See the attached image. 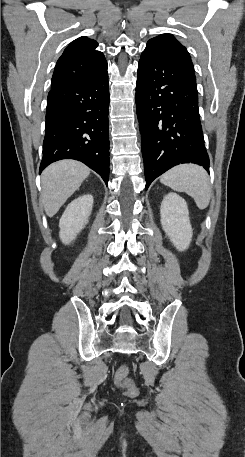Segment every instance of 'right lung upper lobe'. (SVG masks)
Listing matches in <instances>:
<instances>
[{"label": "right lung upper lobe", "mask_w": 245, "mask_h": 457, "mask_svg": "<svg viewBox=\"0 0 245 457\" xmlns=\"http://www.w3.org/2000/svg\"><path fill=\"white\" fill-rule=\"evenodd\" d=\"M97 46L95 40L87 37H80L70 43L56 64L52 87L104 71L107 62L103 53L96 50Z\"/></svg>", "instance_id": "cb5924a9"}]
</instances>
